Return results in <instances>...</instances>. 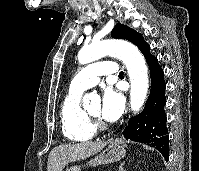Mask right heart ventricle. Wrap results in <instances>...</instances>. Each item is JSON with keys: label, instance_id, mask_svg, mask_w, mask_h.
I'll return each mask as SVG.
<instances>
[{"label": "right heart ventricle", "instance_id": "1", "mask_svg": "<svg viewBox=\"0 0 199 171\" xmlns=\"http://www.w3.org/2000/svg\"><path fill=\"white\" fill-rule=\"evenodd\" d=\"M81 95L82 91H73L69 88L60 109L63 135L71 141L78 142L90 140L95 133L87 112L80 105Z\"/></svg>", "mask_w": 199, "mask_h": 171}]
</instances>
